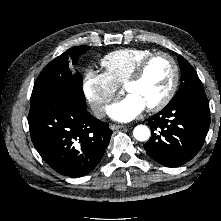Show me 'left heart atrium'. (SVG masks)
I'll return each mask as SVG.
<instances>
[{"label":"left heart atrium","instance_id":"1","mask_svg":"<svg viewBox=\"0 0 221 221\" xmlns=\"http://www.w3.org/2000/svg\"><path fill=\"white\" fill-rule=\"evenodd\" d=\"M146 108L142 100L134 94H128L121 101L108 108V115L114 120L128 122L136 118Z\"/></svg>","mask_w":221,"mask_h":221}]
</instances>
